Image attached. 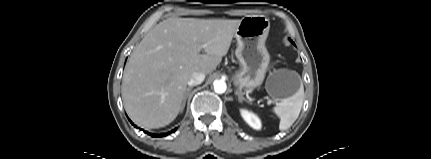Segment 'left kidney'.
Returning a JSON list of instances; mask_svg holds the SVG:
<instances>
[{"label":"left kidney","instance_id":"1","mask_svg":"<svg viewBox=\"0 0 431 159\" xmlns=\"http://www.w3.org/2000/svg\"><path fill=\"white\" fill-rule=\"evenodd\" d=\"M241 115L243 119L254 129L259 130L261 128L260 119L253 113L242 109Z\"/></svg>","mask_w":431,"mask_h":159}]
</instances>
